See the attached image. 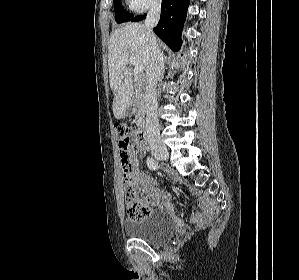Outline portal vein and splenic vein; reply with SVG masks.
Returning a JSON list of instances; mask_svg holds the SVG:
<instances>
[{
  "label": "portal vein and splenic vein",
  "instance_id": "portal-vein-and-splenic-vein-1",
  "mask_svg": "<svg viewBox=\"0 0 299 280\" xmlns=\"http://www.w3.org/2000/svg\"><path fill=\"white\" fill-rule=\"evenodd\" d=\"M130 63L135 66L133 73L134 78L137 79L143 72V68L137 65L136 58L133 56H130Z\"/></svg>",
  "mask_w": 299,
  "mask_h": 280
}]
</instances>
